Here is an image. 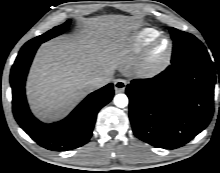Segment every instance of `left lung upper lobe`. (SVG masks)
Masks as SVG:
<instances>
[{
    "mask_svg": "<svg viewBox=\"0 0 220 173\" xmlns=\"http://www.w3.org/2000/svg\"><path fill=\"white\" fill-rule=\"evenodd\" d=\"M174 41L172 61L179 62L191 57H209L205 46L192 34L169 29Z\"/></svg>",
    "mask_w": 220,
    "mask_h": 173,
    "instance_id": "obj_1",
    "label": "left lung upper lobe"
}]
</instances>
